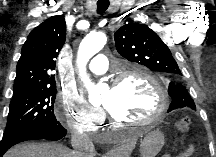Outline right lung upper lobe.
I'll return each mask as SVG.
<instances>
[{
  "mask_svg": "<svg viewBox=\"0 0 216 157\" xmlns=\"http://www.w3.org/2000/svg\"><path fill=\"white\" fill-rule=\"evenodd\" d=\"M66 39L63 16H52L34 28L27 37L16 67L13 95L22 91L56 87L55 69L60 49Z\"/></svg>",
  "mask_w": 216,
  "mask_h": 157,
  "instance_id": "cb5924a9",
  "label": "right lung upper lobe"
}]
</instances>
